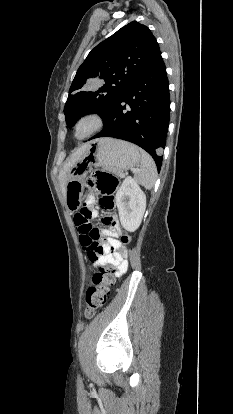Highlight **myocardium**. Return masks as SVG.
Instances as JSON below:
<instances>
[{
    "label": "myocardium",
    "mask_w": 233,
    "mask_h": 414,
    "mask_svg": "<svg viewBox=\"0 0 233 414\" xmlns=\"http://www.w3.org/2000/svg\"><path fill=\"white\" fill-rule=\"evenodd\" d=\"M106 126L105 116L98 111L81 114L73 126V138L83 141L101 132Z\"/></svg>",
    "instance_id": "f54148a6"
}]
</instances>
